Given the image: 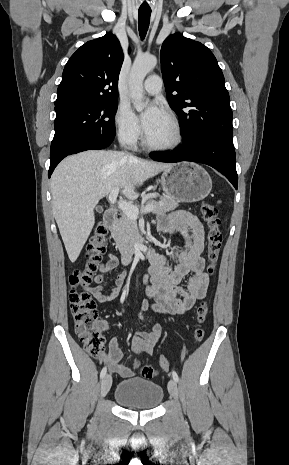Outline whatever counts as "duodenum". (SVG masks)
I'll use <instances>...</instances> for the list:
<instances>
[{
  "label": "duodenum",
  "mask_w": 289,
  "mask_h": 465,
  "mask_svg": "<svg viewBox=\"0 0 289 465\" xmlns=\"http://www.w3.org/2000/svg\"><path fill=\"white\" fill-rule=\"evenodd\" d=\"M117 221V210L114 207H110L104 214V223L107 228L113 229ZM145 257L151 263L156 262L159 259V254L155 252L153 248H147L142 250L127 249L123 252V262L129 263L134 258Z\"/></svg>",
  "instance_id": "obj_1"
}]
</instances>
